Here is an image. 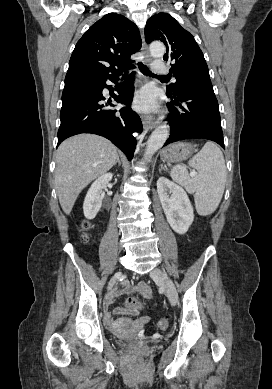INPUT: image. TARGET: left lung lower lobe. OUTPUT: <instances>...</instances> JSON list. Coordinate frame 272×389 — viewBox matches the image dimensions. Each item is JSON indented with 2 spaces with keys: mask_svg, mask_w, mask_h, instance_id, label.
<instances>
[{
  "mask_svg": "<svg viewBox=\"0 0 272 389\" xmlns=\"http://www.w3.org/2000/svg\"><path fill=\"white\" fill-rule=\"evenodd\" d=\"M170 136L165 146L179 140L202 138L224 147L218 101L212 84L185 85L168 95Z\"/></svg>",
  "mask_w": 272,
  "mask_h": 389,
  "instance_id": "left-lung-lower-lobe-1",
  "label": "left lung lower lobe"
}]
</instances>
